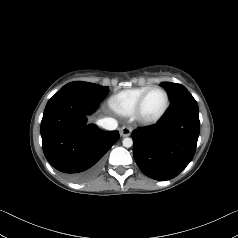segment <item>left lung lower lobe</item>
Here are the masks:
<instances>
[{
	"label": "left lung lower lobe",
	"instance_id": "obj_1",
	"mask_svg": "<svg viewBox=\"0 0 238 238\" xmlns=\"http://www.w3.org/2000/svg\"><path fill=\"white\" fill-rule=\"evenodd\" d=\"M199 131L198 105L188 92L172 101L159 123L132 132L138 167L155 180L176 177L192 160Z\"/></svg>",
	"mask_w": 238,
	"mask_h": 238
}]
</instances>
